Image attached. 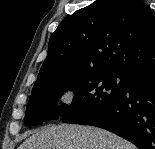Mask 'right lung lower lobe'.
I'll use <instances>...</instances> for the list:
<instances>
[{"label": "right lung lower lobe", "mask_w": 155, "mask_h": 149, "mask_svg": "<svg viewBox=\"0 0 155 149\" xmlns=\"http://www.w3.org/2000/svg\"><path fill=\"white\" fill-rule=\"evenodd\" d=\"M82 124L113 132L140 149H155V69L129 74L123 93Z\"/></svg>", "instance_id": "1"}]
</instances>
